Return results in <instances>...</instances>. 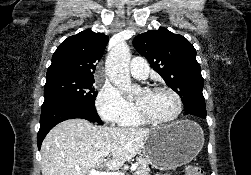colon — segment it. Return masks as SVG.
Segmentation results:
<instances>
[{
	"mask_svg": "<svg viewBox=\"0 0 251 175\" xmlns=\"http://www.w3.org/2000/svg\"><path fill=\"white\" fill-rule=\"evenodd\" d=\"M184 175H203L202 170L194 164H185L182 167Z\"/></svg>",
	"mask_w": 251,
	"mask_h": 175,
	"instance_id": "obj_1",
	"label": "colon"
}]
</instances>
